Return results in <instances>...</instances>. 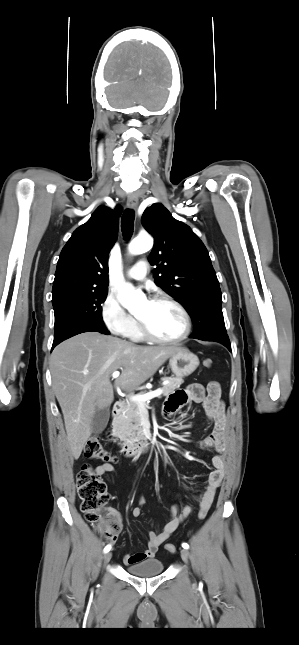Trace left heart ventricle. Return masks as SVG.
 <instances>
[{"mask_svg":"<svg viewBox=\"0 0 299 645\" xmlns=\"http://www.w3.org/2000/svg\"><path fill=\"white\" fill-rule=\"evenodd\" d=\"M136 316L144 320L151 332L161 338L177 337L184 329L180 312L165 302L145 301Z\"/></svg>","mask_w":299,"mask_h":645,"instance_id":"1","label":"left heart ventricle"}]
</instances>
